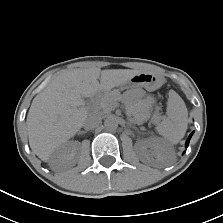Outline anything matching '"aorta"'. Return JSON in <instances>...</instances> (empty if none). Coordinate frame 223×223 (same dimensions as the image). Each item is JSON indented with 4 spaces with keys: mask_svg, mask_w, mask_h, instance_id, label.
<instances>
[{
    "mask_svg": "<svg viewBox=\"0 0 223 223\" xmlns=\"http://www.w3.org/2000/svg\"><path fill=\"white\" fill-rule=\"evenodd\" d=\"M104 125L106 129L113 131L118 127V123L115 117L110 116L105 119Z\"/></svg>",
    "mask_w": 223,
    "mask_h": 223,
    "instance_id": "1",
    "label": "aorta"
}]
</instances>
